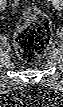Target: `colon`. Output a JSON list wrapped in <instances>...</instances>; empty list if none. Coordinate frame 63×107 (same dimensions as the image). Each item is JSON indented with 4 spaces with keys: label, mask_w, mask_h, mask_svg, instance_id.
Instances as JSON below:
<instances>
[{
    "label": "colon",
    "mask_w": 63,
    "mask_h": 107,
    "mask_svg": "<svg viewBox=\"0 0 63 107\" xmlns=\"http://www.w3.org/2000/svg\"><path fill=\"white\" fill-rule=\"evenodd\" d=\"M51 38L50 23L45 14L30 7L24 14V24L17 30L14 42L17 54L26 62L39 60Z\"/></svg>",
    "instance_id": "1"
}]
</instances>
